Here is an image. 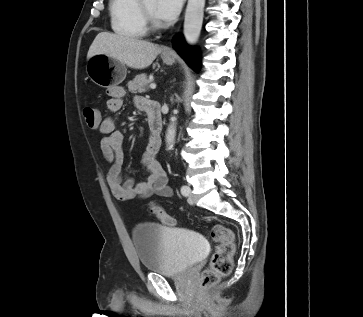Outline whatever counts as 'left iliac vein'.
Returning <instances> with one entry per match:
<instances>
[{
	"mask_svg": "<svg viewBox=\"0 0 363 317\" xmlns=\"http://www.w3.org/2000/svg\"><path fill=\"white\" fill-rule=\"evenodd\" d=\"M187 187L189 188V193H188V195H189V197H188V203H189V204H191V205H193V204H194V199H193L192 194H191V188H190L189 186H187Z\"/></svg>",
	"mask_w": 363,
	"mask_h": 317,
	"instance_id": "4c4485c4",
	"label": "left iliac vein"
}]
</instances>
